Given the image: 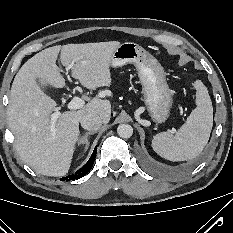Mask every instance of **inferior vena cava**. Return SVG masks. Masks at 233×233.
Instances as JSON below:
<instances>
[{
    "label": "inferior vena cava",
    "mask_w": 233,
    "mask_h": 233,
    "mask_svg": "<svg viewBox=\"0 0 233 233\" xmlns=\"http://www.w3.org/2000/svg\"><path fill=\"white\" fill-rule=\"evenodd\" d=\"M81 126L89 131H96L102 126V120L99 116L89 113L81 118Z\"/></svg>",
    "instance_id": "602c4592"
}]
</instances>
